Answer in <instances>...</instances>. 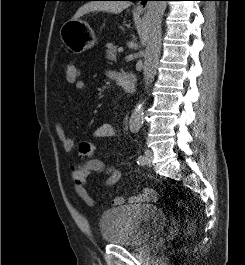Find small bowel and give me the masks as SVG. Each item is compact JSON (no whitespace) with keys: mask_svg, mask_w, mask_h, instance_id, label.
<instances>
[{"mask_svg":"<svg viewBox=\"0 0 245 265\" xmlns=\"http://www.w3.org/2000/svg\"><path fill=\"white\" fill-rule=\"evenodd\" d=\"M111 77H114L115 72H109ZM75 87L78 91H85L87 84L83 80L76 82ZM56 134L60 140L62 147L66 153H73L76 148V140L69 137L61 122L56 124ZM95 138H113L116 136V130L112 124L103 123L97 126L93 132ZM70 177L73 181L74 190L78 197L82 199L86 205L90 207L97 206V202L91 197L87 189V180L92 174H105L104 185L107 187L113 186L121 178V172L113 167L107 166L102 160L92 158L81 164L72 165L69 170ZM158 199L157 192L152 188H143L140 194L129 197L128 202L138 204L143 202H154ZM125 199L122 196L113 198V206H122Z\"/></svg>","mask_w":245,"mask_h":265,"instance_id":"obj_1","label":"small bowel"}]
</instances>
